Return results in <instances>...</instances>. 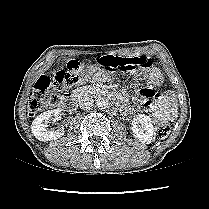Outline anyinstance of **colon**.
I'll return each mask as SVG.
<instances>
[{
    "label": "colon",
    "instance_id": "5ec220e1",
    "mask_svg": "<svg viewBox=\"0 0 209 209\" xmlns=\"http://www.w3.org/2000/svg\"><path fill=\"white\" fill-rule=\"evenodd\" d=\"M152 61L145 57H128L108 55L99 59L96 68L113 71L128 72L138 67L150 68ZM83 67L78 61H70L66 70H59L51 77L41 76L36 81L33 90L30 94L28 104V113L30 116L36 115L44 108L51 107L58 102V93L67 91L78 84L83 73ZM170 132L169 122H164L159 125L157 136L165 138Z\"/></svg>",
    "mask_w": 209,
    "mask_h": 209
}]
</instances>
